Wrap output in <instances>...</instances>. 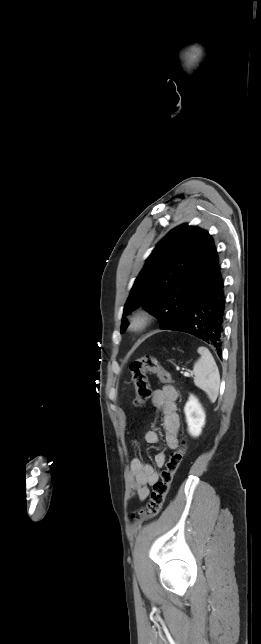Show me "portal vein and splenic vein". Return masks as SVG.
<instances>
[{"mask_svg":"<svg viewBox=\"0 0 261 644\" xmlns=\"http://www.w3.org/2000/svg\"><path fill=\"white\" fill-rule=\"evenodd\" d=\"M183 375H184L185 377H189V376H190V373H188V372H184V373H183Z\"/></svg>","mask_w":261,"mask_h":644,"instance_id":"portal-vein-and-splenic-vein-1","label":"portal vein and splenic vein"}]
</instances>
